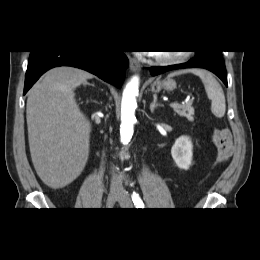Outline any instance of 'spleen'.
<instances>
[{
	"instance_id": "3e777b00",
	"label": "spleen",
	"mask_w": 260,
	"mask_h": 260,
	"mask_svg": "<svg viewBox=\"0 0 260 260\" xmlns=\"http://www.w3.org/2000/svg\"><path fill=\"white\" fill-rule=\"evenodd\" d=\"M186 72H191L199 76L205 87L206 94L211 100L212 113L215 115V117L222 118L225 115L226 103L222 87L220 86L218 81L213 77L211 73L202 69L177 71L169 74L168 77H174Z\"/></svg>"
}]
</instances>
